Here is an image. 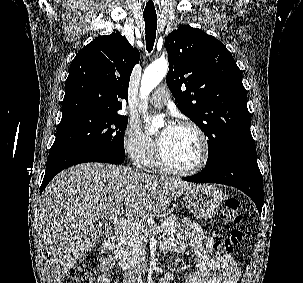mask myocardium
Instances as JSON below:
<instances>
[{
  "label": "myocardium",
  "instance_id": "1",
  "mask_svg": "<svg viewBox=\"0 0 303 283\" xmlns=\"http://www.w3.org/2000/svg\"><path fill=\"white\" fill-rule=\"evenodd\" d=\"M177 126L181 128H189L196 134L200 143V159L198 163L189 169L175 168L166 162L162 150L160 146H158L156 155L157 164L164 172L168 174L182 177L192 176L202 171L207 165L210 154L209 142L204 131L195 122L184 120L179 122Z\"/></svg>",
  "mask_w": 303,
  "mask_h": 283
}]
</instances>
